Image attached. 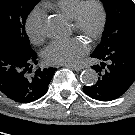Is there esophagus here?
<instances>
[{
  "label": "esophagus",
  "mask_w": 135,
  "mask_h": 135,
  "mask_svg": "<svg viewBox=\"0 0 135 135\" xmlns=\"http://www.w3.org/2000/svg\"><path fill=\"white\" fill-rule=\"evenodd\" d=\"M63 66L67 67V68H70V69H72L74 71H81V70L84 69V67H82V66H70V65H63Z\"/></svg>",
  "instance_id": "34e87169"
}]
</instances>
